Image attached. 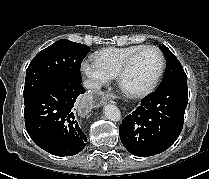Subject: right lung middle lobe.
<instances>
[{
  "instance_id": "1",
  "label": "right lung middle lobe",
  "mask_w": 209,
  "mask_h": 179,
  "mask_svg": "<svg viewBox=\"0 0 209 179\" xmlns=\"http://www.w3.org/2000/svg\"><path fill=\"white\" fill-rule=\"evenodd\" d=\"M89 49L87 45L62 39L40 51L26 70L24 103L51 83L81 81L80 66Z\"/></svg>"
}]
</instances>
